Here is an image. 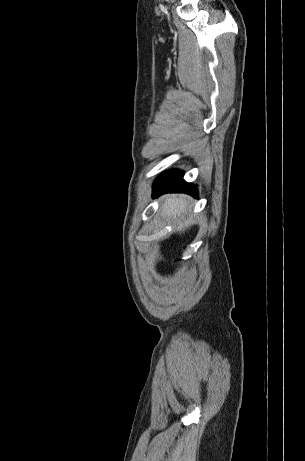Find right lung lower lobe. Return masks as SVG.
I'll return each instance as SVG.
<instances>
[{"label": "right lung lower lobe", "mask_w": 305, "mask_h": 461, "mask_svg": "<svg viewBox=\"0 0 305 461\" xmlns=\"http://www.w3.org/2000/svg\"><path fill=\"white\" fill-rule=\"evenodd\" d=\"M166 192H181L194 197L198 196L197 189L183 180V172L179 170L164 172L155 180L153 197Z\"/></svg>", "instance_id": "98d812e1"}]
</instances>
